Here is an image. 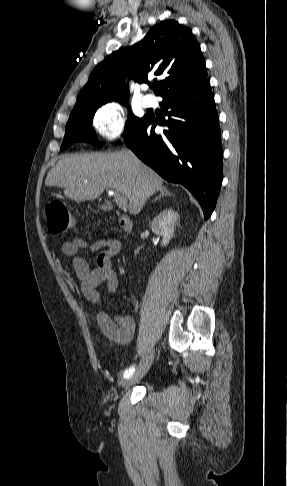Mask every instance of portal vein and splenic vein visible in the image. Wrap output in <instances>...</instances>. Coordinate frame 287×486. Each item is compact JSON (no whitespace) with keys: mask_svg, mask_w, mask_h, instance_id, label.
Segmentation results:
<instances>
[{"mask_svg":"<svg viewBox=\"0 0 287 486\" xmlns=\"http://www.w3.org/2000/svg\"><path fill=\"white\" fill-rule=\"evenodd\" d=\"M109 195L114 196L116 203L120 208H125L127 206V198L125 196L113 190L109 191Z\"/></svg>","mask_w":287,"mask_h":486,"instance_id":"18ae733b","label":"portal vein and splenic vein"}]
</instances>
